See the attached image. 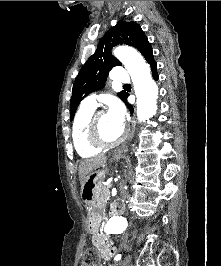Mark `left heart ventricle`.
I'll return each mask as SVG.
<instances>
[{"label": "left heart ventricle", "instance_id": "obj_1", "mask_svg": "<svg viewBox=\"0 0 221 266\" xmlns=\"http://www.w3.org/2000/svg\"><path fill=\"white\" fill-rule=\"evenodd\" d=\"M98 122L101 136L108 141L117 139L123 130V128L114 124L107 114L101 115Z\"/></svg>", "mask_w": 221, "mask_h": 266}]
</instances>
